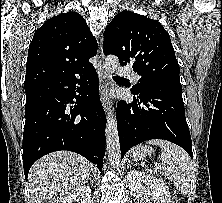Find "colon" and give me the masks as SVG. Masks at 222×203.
<instances>
[{"instance_id": "5ec220e1", "label": "colon", "mask_w": 222, "mask_h": 203, "mask_svg": "<svg viewBox=\"0 0 222 203\" xmlns=\"http://www.w3.org/2000/svg\"><path fill=\"white\" fill-rule=\"evenodd\" d=\"M174 203H179V199L177 197L174 198Z\"/></svg>"}]
</instances>
